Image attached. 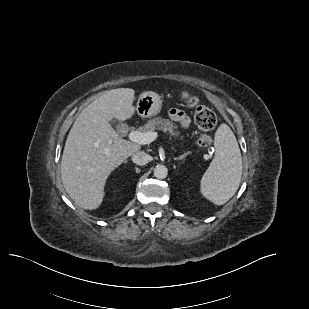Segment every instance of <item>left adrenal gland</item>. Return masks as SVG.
<instances>
[{
    "label": "left adrenal gland",
    "instance_id": "1",
    "mask_svg": "<svg viewBox=\"0 0 309 309\" xmlns=\"http://www.w3.org/2000/svg\"><path fill=\"white\" fill-rule=\"evenodd\" d=\"M191 152L189 151V152H186V153H184V154H182V155H180L178 158H176L177 160H182V159H184L187 155H189Z\"/></svg>",
    "mask_w": 309,
    "mask_h": 309
}]
</instances>
